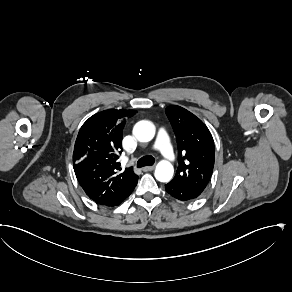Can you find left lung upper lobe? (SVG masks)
<instances>
[{
	"instance_id": "left-lung-upper-lobe-1",
	"label": "left lung upper lobe",
	"mask_w": 292,
	"mask_h": 292,
	"mask_svg": "<svg viewBox=\"0 0 292 292\" xmlns=\"http://www.w3.org/2000/svg\"><path fill=\"white\" fill-rule=\"evenodd\" d=\"M165 112L178 146L179 166L170 182L202 193L214 168L215 147L212 135L198 117L180 106H169Z\"/></svg>"
}]
</instances>
